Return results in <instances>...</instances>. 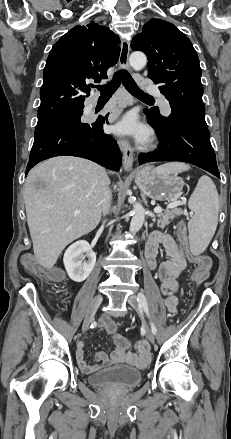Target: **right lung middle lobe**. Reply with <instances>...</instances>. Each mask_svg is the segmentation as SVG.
<instances>
[{"instance_id": "right-lung-middle-lobe-1", "label": "right lung middle lobe", "mask_w": 231, "mask_h": 439, "mask_svg": "<svg viewBox=\"0 0 231 439\" xmlns=\"http://www.w3.org/2000/svg\"><path fill=\"white\" fill-rule=\"evenodd\" d=\"M82 114H83V110L78 109V110H73L62 114H58L55 116H51L48 118L38 119L36 129L57 122H80V118Z\"/></svg>"}]
</instances>
